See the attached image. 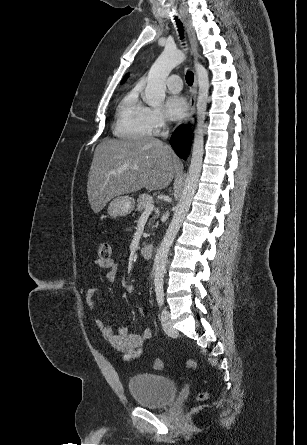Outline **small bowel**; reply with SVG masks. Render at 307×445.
I'll return each instance as SVG.
<instances>
[{"mask_svg": "<svg viewBox=\"0 0 307 445\" xmlns=\"http://www.w3.org/2000/svg\"><path fill=\"white\" fill-rule=\"evenodd\" d=\"M94 265L106 270L109 280H114L118 272V262L114 259H96ZM98 290L91 286L86 290L85 299L87 304L92 307ZM139 313L143 315L144 307H138ZM96 326L101 331L107 342L115 349L124 353L126 360L139 358L143 353L145 341L151 337V331L145 329L142 333H130L126 327L113 330L100 319L95 321Z\"/></svg>", "mask_w": 307, "mask_h": 445, "instance_id": "obj_1", "label": "small bowel"}]
</instances>
